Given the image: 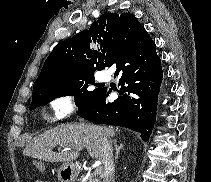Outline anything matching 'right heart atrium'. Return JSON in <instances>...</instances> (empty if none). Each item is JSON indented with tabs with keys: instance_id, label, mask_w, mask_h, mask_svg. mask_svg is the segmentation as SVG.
<instances>
[{
	"instance_id": "obj_1",
	"label": "right heart atrium",
	"mask_w": 211,
	"mask_h": 182,
	"mask_svg": "<svg viewBox=\"0 0 211 182\" xmlns=\"http://www.w3.org/2000/svg\"><path fill=\"white\" fill-rule=\"evenodd\" d=\"M50 118L59 122L69 117L76 110V100L73 95H61L49 103Z\"/></svg>"
}]
</instances>
